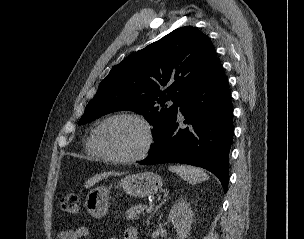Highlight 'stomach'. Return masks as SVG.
<instances>
[{"label":"stomach","instance_id":"0dacf381","mask_svg":"<svg viewBox=\"0 0 304 239\" xmlns=\"http://www.w3.org/2000/svg\"><path fill=\"white\" fill-rule=\"evenodd\" d=\"M162 178L154 172H141L128 175L121 179L118 186L129 196L146 197L154 195L162 187ZM110 187L99 186L87 194L85 206L94 218L103 217L108 211V197Z\"/></svg>","mask_w":304,"mask_h":239}]
</instances>
